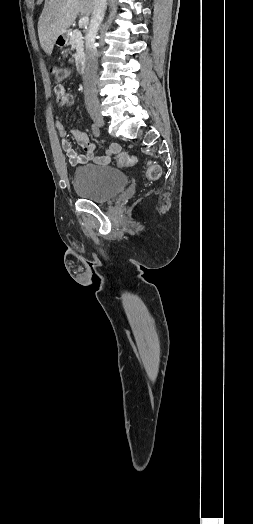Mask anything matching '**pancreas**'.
<instances>
[{"instance_id":"1","label":"pancreas","mask_w":253,"mask_h":524,"mask_svg":"<svg viewBox=\"0 0 253 524\" xmlns=\"http://www.w3.org/2000/svg\"><path fill=\"white\" fill-rule=\"evenodd\" d=\"M68 44L71 45L72 49H76L75 57L80 60L84 56V42L81 32L78 30L68 32Z\"/></svg>"}]
</instances>
